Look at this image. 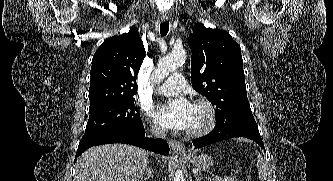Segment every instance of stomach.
Wrapping results in <instances>:
<instances>
[{
  "instance_id": "1",
  "label": "stomach",
  "mask_w": 333,
  "mask_h": 181,
  "mask_svg": "<svg viewBox=\"0 0 333 181\" xmlns=\"http://www.w3.org/2000/svg\"><path fill=\"white\" fill-rule=\"evenodd\" d=\"M191 162L197 167V168H210L213 166V159L206 155V154H200L193 156L191 158Z\"/></svg>"
}]
</instances>
